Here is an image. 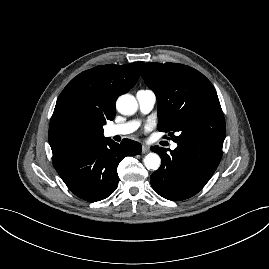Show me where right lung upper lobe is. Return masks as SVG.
<instances>
[{
	"label": "right lung upper lobe",
	"mask_w": 269,
	"mask_h": 269,
	"mask_svg": "<svg viewBox=\"0 0 269 269\" xmlns=\"http://www.w3.org/2000/svg\"><path fill=\"white\" fill-rule=\"evenodd\" d=\"M142 65L97 66L67 84L57 99L49 126L53 157L104 138L103 125L114 119L116 99L136 84Z\"/></svg>",
	"instance_id": "cb5924a9"
}]
</instances>
